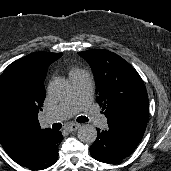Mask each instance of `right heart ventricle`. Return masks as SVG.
Segmentation results:
<instances>
[{
    "instance_id": "right-heart-ventricle-1",
    "label": "right heart ventricle",
    "mask_w": 171,
    "mask_h": 171,
    "mask_svg": "<svg viewBox=\"0 0 171 171\" xmlns=\"http://www.w3.org/2000/svg\"><path fill=\"white\" fill-rule=\"evenodd\" d=\"M82 72V70L78 69V68H72L71 71H70V77L75 75V74H78Z\"/></svg>"
}]
</instances>
